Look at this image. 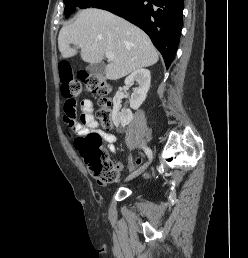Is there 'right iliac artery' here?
Wrapping results in <instances>:
<instances>
[{
  "label": "right iliac artery",
  "mask_w": 248,
  "mask_h": 258,
  "mask_svg": "<svg viewBox=\"0 0 248 258\" xmlns=\"http://www.w3.org/2000/svg\"><path fill=\"white\" fill-rule=\"evenodd\" d=\"M143 149H144V152L146 153V155L148 156V158L151 159L152 158V151H151V149L148 148V147H143Z\"/></svg>",
  "instance_id": "obj_1"
}]
</instances>
